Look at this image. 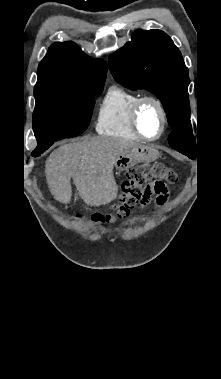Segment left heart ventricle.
Instances as JSON below:
<instances>
[{"mask_svg":"<svg viewBox=\"0 0 221 379\" xmlns=\"http://www.w3.org/2000/svg\"><path fill=\"white\" fill-rule=\"evenodd\" d=\"M139 126L142 132L153 137L157 135L161 128V115L153 103L145 104L139 114Z\"/></svg>","mask_w":221,"mask_h":379,"instance_id":"b2bd125f","label":"left heart ventricle"}]
</instances>
